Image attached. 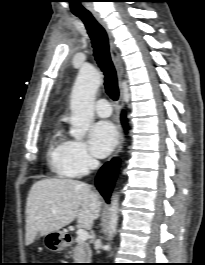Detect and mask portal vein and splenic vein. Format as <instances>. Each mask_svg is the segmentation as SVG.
<instances>
[{
    "instance_id": "obj_1",
    "label": "portal vein and splenic vein",
    "mask_w": 205,
    "mask_h": 265,
    "mask_svg": "<svg viewBox=\"0 0 205 265\" xmlns=\"http://www.w3.org/2000/svg\"><path fill=\"white\" fill-rule=\"evenodd\" d=\"M77 236H78V239L79 240H81L82 242H84L89 237V233L86 230H84V229H78L77 230Z\"/></svg>"
}]
</instances>
